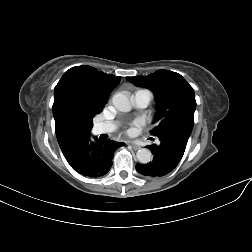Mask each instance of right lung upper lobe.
Segmentation results:
<instances>
[{
	"instance_id": "cb5924a9",
	"label": "right lung upper lobe",
	"mask_w": 252,
	"mask_h": 252,
	"mask_svg": "<svg viewBox=\"0 0 252 252\" xmlns=\"http://www.w3.org/2000/svg\"><path fill=\"white\" fill-rule=\"evenodd\" d=\"M120 77L91 66L67 70L54 89L53 116L61 150L80 136L90 134L87 118L101 113ZM93 119V118H92Z\"/></svg>"
}]
</instances>
